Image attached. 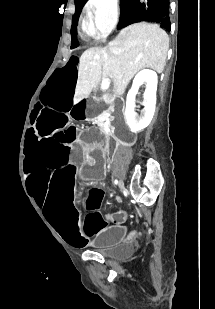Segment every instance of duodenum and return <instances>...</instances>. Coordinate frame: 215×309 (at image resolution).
Masks as SVG:
<instances>
[{
    "label": "duodenum",
    "instance_id": "duodenum-1",
    "mask_svg": "<svg viewBox=\"0 0 215 309\" xmlns=\"http://www.w3.org/2000/svg\"><path fill=\"white\" fill-rule=\"evenodd\" d=\"M100 126L101 128L105 129L109 135H113L115 133L110 121L107 119L102 120L100 122Z\"/></svg>",
    "mask_w": 215,
    "mask_h": 309
}]
</instances>
